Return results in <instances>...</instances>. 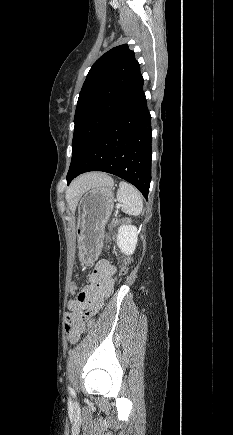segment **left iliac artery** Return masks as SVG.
Returning <instances> with one entry per match:
<instances>
[{
	"instance_id": "44dca946",
	"label": "left iliac artery",
	"mask_w": 233,
	"mask_h": 435,
	"mask_svg": "<svg viewBox=\"0 0 233 435\" xmlns=\"http://www.w3.org/2000/svg\"><path fill=\"white\" fill-rule=\"evenodd\" d=\"M68 389L71 390V387L68 386Z\"/></svg>"
}]
</instances>
